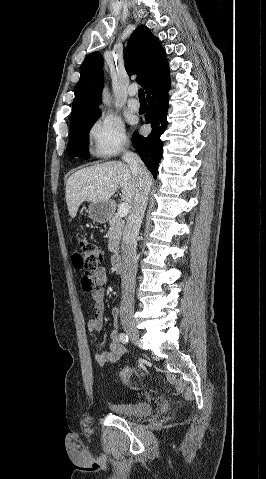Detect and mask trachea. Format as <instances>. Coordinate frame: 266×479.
Returning <instances> with one entry per match:
<instances>
[{
	"mask_svg": "<svg viewBox=\"0 0 266 479\" xmlns=\"http://www.w3.org/2000/svg\"><path fill=\"white\" fill-rule=\"evenodd\" d=\"M138 97H139V99L142 100V101H145V100H146L143 89H139V91H138Z\"/></svg>",
	"mask_w": 266,
	"mask_h": 479,
	"instance_id": "obj_1",
	"label": "trachea"
}]
</instances>
